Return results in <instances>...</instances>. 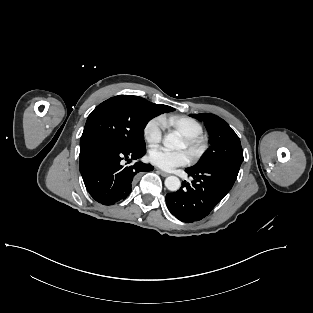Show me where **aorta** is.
I'll return each instance as SVG.
<instances>
[{
    "mask_svg": "<svg viewBox=\"0 0 313 313\" xmlns=\"http://www.w3.org/2000/svg\"><path fill=\"white\" fill-rule=\"evenodd\" d=\"M180 138L176 133H170L166 135L163 144L166 148L175 149L180 146ZM165 186L170 191H177L181 186V182L176 176H169L165 179Z\"/></svg>",
    "mask_w": 313,
    "mask_h": 313,
    "instance_id": "obj_1",
    "label": "aorta"
}]
</instances>
